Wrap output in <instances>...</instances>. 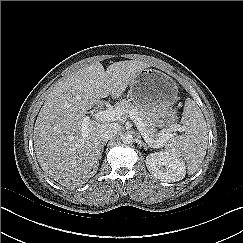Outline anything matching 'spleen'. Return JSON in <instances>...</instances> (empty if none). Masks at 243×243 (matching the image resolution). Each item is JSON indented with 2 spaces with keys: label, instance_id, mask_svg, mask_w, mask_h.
<instances>
[{
  "label": "spleen",
  "instance_id": "obj_1",
  "mask_svg": "<svg viewBox=\"0 0 243 243\" xmlns=\"http://www.w3.org/2000/svg\"><path fill=\"white\" fill-rule=\"evenodd\" d=\"M181 136L173 138L166 146L165 153L183 157L187 161L189 174H194L201 166L208 145V128L201 109L188 98L184 105Z\"/></svg>",
  "mask_w": 243,
  "mask_h": 243
}]
</instances>
